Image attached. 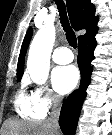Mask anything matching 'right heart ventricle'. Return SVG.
<instances>
[{
  "instance_id": "e07e8e85",
  "label": "right heart ventricle",
  "mask_w": 112,
  "mask_h": 135,
  "mask_svg": "<svg viewBox=\"0 0 112 135\" xmlns=\"http://www.w3.org/2000/svg\"><path fill=\"white\" fill-rule=\"evenodd\" d=\"M15 110L24 119L31 121L42 120L46 113L40 110L35 102L32 93H29L25 86H22L15 96Z\"/></svg>"
}]
</instances>
